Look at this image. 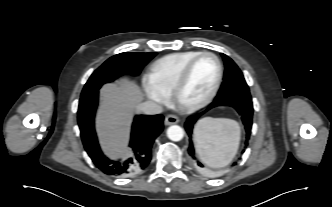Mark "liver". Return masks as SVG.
Listing matches in <instances>:
<instances>
[{
  "mask_svg": "<svg viewBox=\"0 0 332 207\" xmlns=\"http://www.w3.org/2000/svg\"><path fill=\"white\" fill-rule=\"evenodd\" d=\"M102 105L97 116V132L103 150L110 158L127 156L131 111L142 100L139 86L127 79L101 89Z\"/></svg>",
  "mask_w": 332,
  "mask_h": 207,
  "instance_id": "6515ba94",
  "label": "liver"
}]
</instances>
